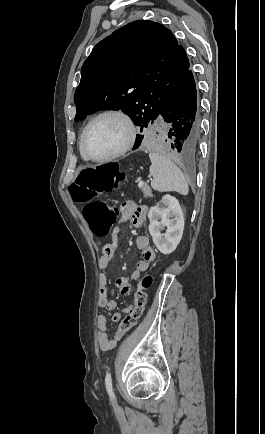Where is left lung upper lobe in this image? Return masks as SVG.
Listing matches in <instances>:
<instances>
[{
	"mask_svg": "<svg viewBox=\"0 0 265 434\" xmlns=\"http://www.w3.org/2000/svg\"><path fill=\"white\" fill-rule=\"evenodd\" d=\"M190 64L173 33L138 20L100 41L81 68L75 121L98 110H119L147 127L158 118Z\"/></svg>",
	"mask_w": 265,
	"mask_h": 434,
	"instance_id": "5c2ea615",
	"label": "left lung upper lobe"
}]
</instances>
